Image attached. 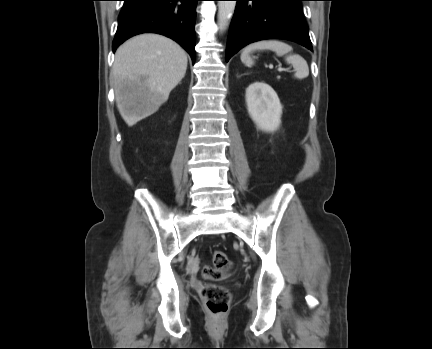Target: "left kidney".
Returning a JSON list of instances; mask_svg holds the SVG:
<instances>
[{"label": "left kidney", "mask_w": 432, "mask_h": 349, "mask_svg": "<svg viewBox=\"0 0 432 349\" xmlns=\"http://www.w3.org/2000/svg\"><path fill=\"white\" fill-rule=\"evenodd\" d=\"M247 110L256 126L273 132L280 125L282 106L274 89L265 82L256 81L246 89Z\"/></svg>", "instance_id": "left-kidney-1"}]
</instances>
